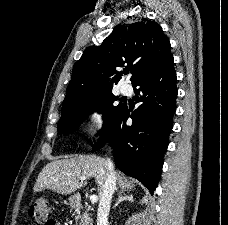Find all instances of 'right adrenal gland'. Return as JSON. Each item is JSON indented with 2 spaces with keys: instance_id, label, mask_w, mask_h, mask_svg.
Returning a JSON list of instances; mask_svg holds the SVG:
<instances>
[{
  "instance_id": "obj_1",
  "label": "right adrenal gland",
  "mask_w": 228,
  "mask_h": 225,
  "mask_svg": "<svg viewBox=\"0 0 228 225\" xmlns=\"http://www.w3.org/2000/svg\"><path fill=\"white\" fill-rule=\"evenodd\" d=\"M122 201H129V203H133V195H131L129 191H127V193H125V191H119L118 201L115 203L112 209H116V207H118L119 203H122Z\"/></svg>"
}]
</instances>
